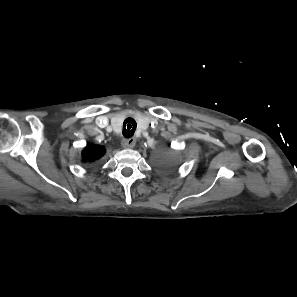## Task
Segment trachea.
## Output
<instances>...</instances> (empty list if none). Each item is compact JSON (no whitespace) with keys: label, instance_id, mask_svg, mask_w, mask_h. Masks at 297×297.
Here are the masks:
<instances>
[{"label":"trachea","instance_id":"3493384b","mask_svg":"<svg viewBox=\"0 0 297 297\" xmlns=\"http://www.w3.org/2000/svg\"><path fill=\"white\" fill-rule=\"evenodd\" d=\"M136 130V122L132 118H127L123 124L122 134L125 138H131Z\"/></svg>","mask_w":297,"mask_h":297}]
</instances>
